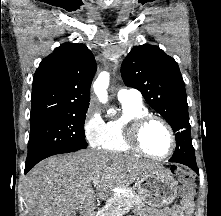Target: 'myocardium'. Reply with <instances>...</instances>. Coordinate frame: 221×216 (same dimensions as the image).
<instances>
[{"label": "myocardium", "instance_id": "1", "mask_svg": "<svg viewBox=\"0 0 221 216\" xmlns=\"http://www.w3.org/2000/svg\"><path fill=\"white\" fill-rule=\"evenodd\" d=\"M152 122H159L161 123L168 131L171 139V146L167 153L163 155H156L151 152H149L144 144H143V132L145 128ZM126 140L128 144L131 146V148L140 154L153 158V159H165L170 157L176 148V135L175 132L170 125V123L157 115L154 114H147L144 116H141L137 119H135L133 122L129 124V126L126 129Z\"/></svg>", "mask_w": 221, "mask_h": 216}]
</instances>
